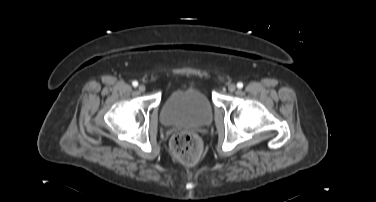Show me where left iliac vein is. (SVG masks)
<instances>
[{
    "label": "left iliac vein",
    "mask_w": 376,
    "mask_h": 202,
    "mask_svg": "<svg viewBox=\"0 0 376 202\" xmlns=\"http://www.w3.org/2000/svg\"><path fill=\"white\" fill-rule=\"evenodd\" d=\"M228 90H229L230 92H234V91L236 90V85H235V84H229V86H228Z\"/></svg>",
    "instance_id": "left-iliac-vein-1"
}]
</instances>
